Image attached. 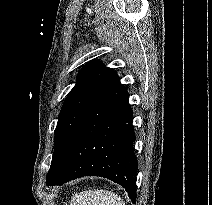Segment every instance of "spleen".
Here are the masks:
<instances>
[{"instance_id":"1","label":"spleen","mask_w":212,"mask_h":205,"mask_svg":"<svg viewBox=\"0 0 212 205\" xmlns=\"http://www.w3.org/2000/svg\"><path fill=\"white\" fill-rule=\"evenodd\" d=\"M70 205H125L123 198L107 190H90L76 194Z\"/></svg>"}]
</instances>
